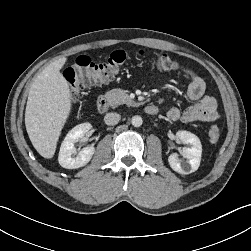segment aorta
I'll return each mask as SVG.
<instances>
[{"instance_id":"1","label":"aorta","mask_w":251,"mask_h":251,"mask_svg":"<svg viewBox=\"0 0 251 251\" xmlns=\"http://www.w3.org/2000/svg\"><path fill=\"white\" fill-rule=\"evenodd\" d=\"M131 123H132V125L134 127H140L142 125V123H143V120H142V118L140 116L135 115V116L132 117Z\"/></svg>"}]
</instances>
